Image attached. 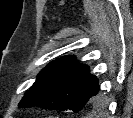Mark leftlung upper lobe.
Returning a JSON list of instances; mask_svg holds the SVG:
<instances>
[{
    "label": "left lung upper lobe",
    "mask_w": 133,
    "mask_h": 118,
    "mask_svg": "<svg viewBox=\"0 0 133 118\" xmlns=\"http://www.w3.org/2000/svg\"><path fill=\"white\" fill-rule=\"evenodd\" d=\"M98 83L88 66L77 63L73 56L61 57L40 72L18 106L79 112L87 106Z\"/></svg>",
    "instance_id": "1"
}]
</instances>
